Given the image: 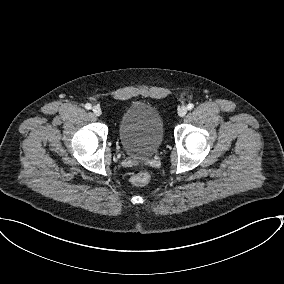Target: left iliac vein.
Segmentation results:
<instances>
[{
	"instance_id": "obj_1",
	"label": "left iliac vein",
	"mask_w": 284,
	"mask_h": 284,
	"mask_svg": "<svg viewBox=\"0 0 284 284\" xmlns=\"http://www.w3.org/2000/svg\"><path fill=\"white\" fill-rule=\"evenodd\" d=\"M186 113H187V108H186V107L183 106V107H180V108L178 109V115H179L180 117L185 116Z\"/></svg>"
}]
</instances>
